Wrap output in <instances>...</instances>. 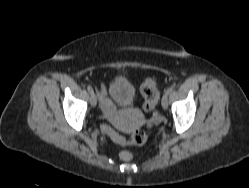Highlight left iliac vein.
Instances as JSON below:
<instances>
[{
    "label": "left iliac vein",
    "mask_w": 249,
    "mask_h": 188,
    "mask_svg": "<svg viewBox=\"0 0 249 188\" xmlns=\"http://www.w3.org/2000/svg\"><path fill=\"white\" fill-rule=\"evenodd\" d=\"M161 104H162L163 109L166 110L168 108V95L166 93L162 97Z\"/></svg>",
    "instance_id": "left-iliac-vein-1"
}]
</instances>
